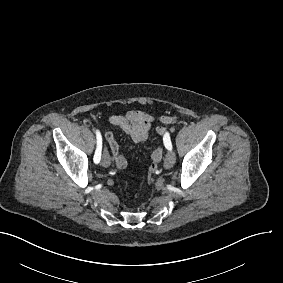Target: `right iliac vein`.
<instances>
[{
    "mask_svg": "<svg viewBox=\"0 0 283 283\" xmlns=\"http://www.w3.org/2000/svg\"><path fill=\"white\" fill-rule=\"evenodd\" d=\"M111 163L110 157L106 151L103 152L102 160H101V165L103 167H109Z\"/></svg>",
    "mask_w": 283,
    "mask_h": 283,
    "instance_id": "63e3f726",
    "label": "right iliac vein"
}]
</instances>
